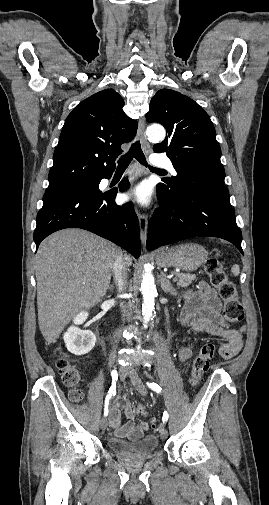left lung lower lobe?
<instances>
[{
    "mask_svg": "<svg viewBox=\"0 0 269 505\" xmlns=\"http://www.w3.org/2000/svg\"><path fill=\"white\" fill-rule=\"evenodd\" d=\"M160 208L148 224V250L191 237H219L241 248L227 187L219 182L191 181L172 195L157 187Z\"/></svg>",
    "mask_w": 269,
    "mask_h": 505,
    "instance_id": "0a47b994",
    "label": "left lung lower lobe"
}]
</instances>
